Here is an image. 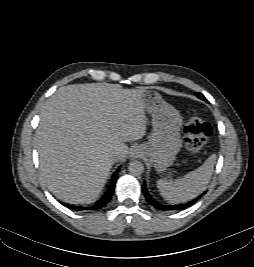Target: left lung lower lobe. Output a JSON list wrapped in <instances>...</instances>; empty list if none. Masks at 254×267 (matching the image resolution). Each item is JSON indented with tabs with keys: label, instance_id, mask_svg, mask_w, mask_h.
Returning <instances> with one entry per match:
<instances>
[{
	"label": "left lung lower lobe",
	"instance_id": "0a47b994",
	"mask_svg": "<svg viewBox=\"0 0 254 267\" xmlns=\"http://www.w3.org/2000/svg\"><path fill=\"white\" fill-rule=\"evenodd\" d=\"M142 191L144 196L146 197L148 203H150L152 206H154L158 210L162 211H168V210H182L185 209L186 207L191 206L197 199L190 201L186 204H181V205H161L158 202L154 201L152 197L149 195L147 189H146V184L142 186Z\"/></svg>",
	"mask_w": 254,
	"mask_h": 267
}]
</instances>
